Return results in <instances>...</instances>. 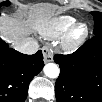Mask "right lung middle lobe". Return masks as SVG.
<instances>
[{
	"label": "right lung middle lobe",
	"mask_w": 102,
	"mask_h": 102,
	"mask_svg": "<svg viewBox=\"0 0 102 102\" xmlns=\"http://www.w3.org/2000/svg\"><path fill=\"white\" fill-rule=\"evenodd\" d=\"M2 5L8 6L9 5V2L8 1H5V2H3V3L0 4V6H2Z\"/></svg>",
	"instance_id": "dd1d6c3e"
}]
</instances>
